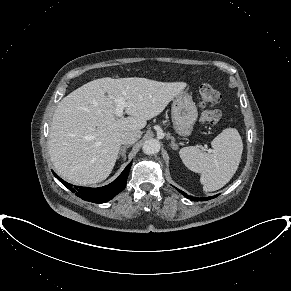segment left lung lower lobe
<instances>
[{"label": "left lung lower lobe", "mask_w": 291, "mask_h": 291, "mask_svg": "<svg viewBox=\"0 0 291 291\" xmlns=\"http://www.w3.org/2000/svg\"><path fill=\"white\" fill-rule=\"evenodd\" d=\"M180 193H182L186 198L190 199V200H193V201H206V200H209V199H212L214 197H216L217 195L215 196H212V197H206V198H198V197H193V196H189L187 195L186 193H184L183 191L181 190H178Z\"/></svg>", "instance_id": "1"}]
</instances>
